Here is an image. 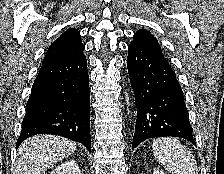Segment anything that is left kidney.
Returning <instances> with one entry per match:
<instances>
[{"instance_id":"left-kidney-1","label":"left kidney","mask_w":224,"mask_h":174,"mask_svg":"<svg viewBox=\"0 0 224 174\" xmlns=\"http://www.w3.org/2000/svg\"><path fill=\"white\" fill-rule=\"evenodd\" d=\"M153 174H165L162 170L155 169Z\"/></svg>"}]
</instances>
